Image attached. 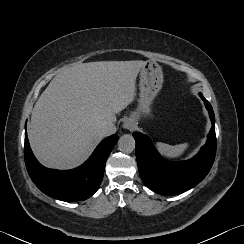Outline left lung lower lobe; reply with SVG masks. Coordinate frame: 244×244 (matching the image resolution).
Wrapping results in <instances>:
<instances>
[{
    "mask_svg": "<svg viewBox=\"0 0 244 244\" xmlns=\"http://www.w3.org/2000/svg\"><path fill=\"white\" fill-rule=\"evenodd\" d=\"M206 108L210 114L212 128L207 143L190 160L167 161L159 155L146 135L133 133L139 173L148 188L162 195L178 194L191 189L208 174L215 158L216 136L215 116L209 102H207Z\"/></svg>",
    "mask_w": 244,
    "mask_h": 244,
    "instance_id": "0a47b994",
    "label": "left lung lower lobe"
}]
</instances>
